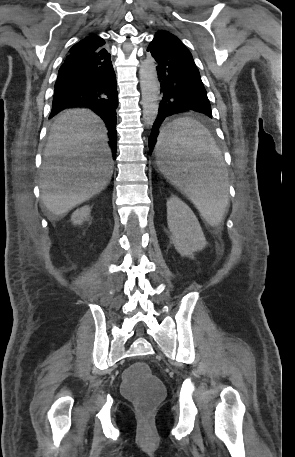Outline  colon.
Segmentation results:
<instances>
[{"instance_id":"1","label":"colon","mask_w":295,"mask_h":457,"mask_svg":"<svg viewBox=\"0 0 295 457\" xmlns=\"http://www.w3.org/2000/svg\"><path fill=\"white\" fill-rule=\"evenodd\" d=\"M120 388L144 417L153 412L163 395V387L150 369V363H131V369H125Z\"/></svg>"}]
</instances>
